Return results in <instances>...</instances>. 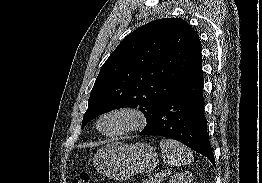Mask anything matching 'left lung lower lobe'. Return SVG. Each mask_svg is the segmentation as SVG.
Here are the masks:
<instances>
[{
  "mask_svg": "<svg viewBox=\"0 0 262 183\" xmlns=\"http://www.w3.org/2000/svg\"><path fill=\"white\" fill-rule=\"evenodd\" d=\"M202 56L189 68L172 93L161 103L140 135L178 140L206 156L215 166L204 115Z\"/></svg>",
  "mask_w": 262,
  "mask_h": 183,
  "instance_id": "obj_1",
  "label": "left lung lower lobe"
}]
</instances>
